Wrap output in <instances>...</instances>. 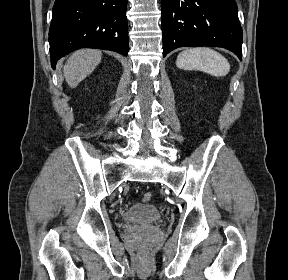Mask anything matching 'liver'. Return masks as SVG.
<instances>
[{"instance_id": "6515ba94", "label": "liver", "mask_w": 288, "mask_h": 280, "mask_svg": "<svg viewBox=\"0 0 288 280\" xmlns=\"http://www.w3.org/2000/svg\"><path fill=\"white\" fill-rule=\"evenodd\" d=\"M101 51L93 49L80 50L71 55L64 66V76L71 88L90 75L101 61Z\"/></svg>"}]
</instances>
